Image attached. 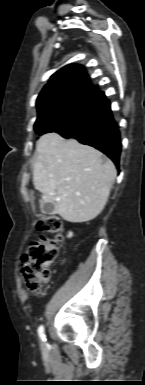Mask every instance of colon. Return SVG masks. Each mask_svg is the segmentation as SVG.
<instances>
[{"mask_svg": "<svg viewBox=\"0 0 145 385\" xmlns=\"http://www.w3.org/2000/svg\"><path fill=\"white\" fill-rule=\"evenodd\" d=\"M36 230L41 239L30 244L22 257L21 269L26 287L40 294L51 277V268L58 256L63 221L58 216H45L37 222Z\"/></svg>", "mask_w": 145, "mask_h": 385, "instance_id": "obj_1", "label": "colon"}]
</instances>
